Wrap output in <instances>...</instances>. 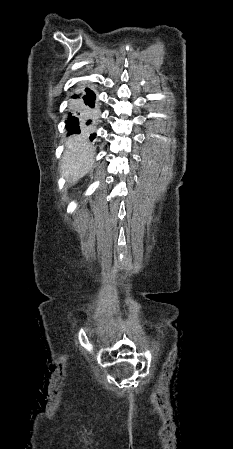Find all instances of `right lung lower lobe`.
<instances>
[{"label":"right lung lower lobe","instance_id":"right-lung-lower-lobe-1","mask_svg":"<svg viewBox=\"0 0 233 449\" xmlns=\"http://www.w3.org/2000/svg\"><path fill=\"white\" fill-rule=\"evenodd\" d=\"M71 112L68 113L66 128L71 132H78L79 125H89L96 116L95 100L96 96L92 90L85 88L71 97ZM95 134L90 136L93 139Z\"/></svg>","mask_w":233,"mask_h":449}]
</instances>
